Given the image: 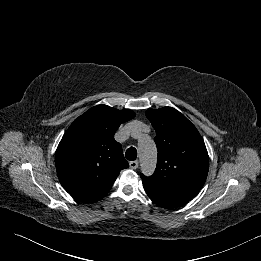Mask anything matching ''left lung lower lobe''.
<instances>
[{"mask_svg":"<svg viewBox=\"0 0 261 261\" xmlns=\"http://www.w3.org/2000/svg\"><path fill=\"white\" fill-rule=\"evenodd\" d=\"M143 186L150 199L159 207L166 209L181 207L193 198L185 193L159 189L145 183Z\"/></svg>","mask_w":261,"mask_h":261,"instance_id":"left-lung-lower-lobe-1","label":"left lung lower lobe"}]
</instances>
